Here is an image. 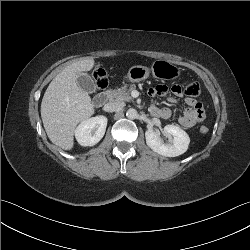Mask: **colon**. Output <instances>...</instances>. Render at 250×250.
Instances as JSON below:
<instances>
[{"label":"colon","instance_id":"5ec220e1","mask_svg":"<svg viewBox=\"0 0 250 250\" xmlns=\"http://www.w3.org/2000/svg\"><path fill=\"white\" fill-rule=\"evenodd\" d=\"M95 84L98 88H104L107 84L108 77L107 73L101 66L94 68L92 73ZM184 93L192 99H196L200 95V86L196 82H187L184 85ZM209 128L205 125L200 127V132L206 134Z\"/></svg>","mask_w":250,"mask_h":250}]
</instances>
